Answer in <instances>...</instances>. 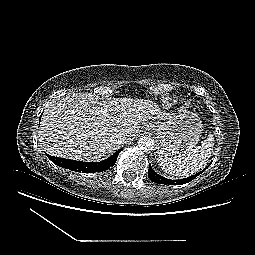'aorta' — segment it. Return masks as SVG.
Masks as SVG:
<instances>
[{
	"label": "aorta",
	"instance_id": "762f6f07",
	"mask_svg": "<svg viewBox=\"0 0 255 255\" xmlns=\"http://www.w3.org/2000/svg\"><path fill=\"white\" fill-rule=\"evenodd\" d=\"M138 146L144 152L152 151L154 148V140L151 137L142 136L138 140Z\"/></svg>",
	"mask_w": 255,
	"mask_h": 255
}]
</instances>
